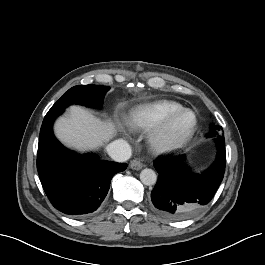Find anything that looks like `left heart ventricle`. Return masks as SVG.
Segmentation results:
<instances>
[{
    "instance_id": "b2bd125f",
    "label": "left heart ventricle",
    "mask_w": 265,
    "mask_h": 265,
    "mask_svg": "<svg viewBox=\"0 0 265 265\" xmlns=\"http://www.w3.org/2000/svg\"><path fill=\"white\" fill-rule=\"evenodd\" d=\"M193 124V115L191 113H185L178 117L174 122V129L177 133L187 132Z\"/></svg>"
}]
</instances>
